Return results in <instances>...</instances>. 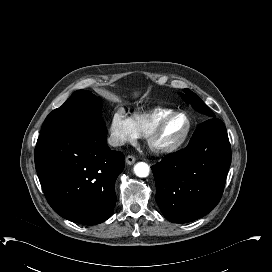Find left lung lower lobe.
Masks as SVG:
<instances>
[{"label":"left lung lower lobe","instance_id":"left-lung-lower-lobe-1","mask_svg":"<svg viewBox=\"0 0 272 272\" xmlns=\"http://www.w3.org/2000/svg\"><path fill=\"white\" fill-rule=\"evenodd\" d=\"M230 164L225 125L210 118L197 127L185 149L151 167L163 215L186 223L208 214L222 196Z\"/></svg>","mask_w":272,"mask_h":272}]
</instances>
